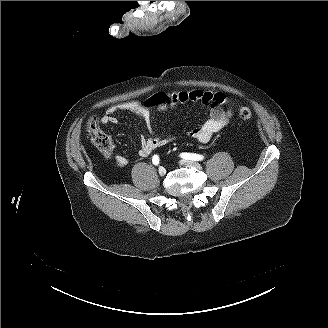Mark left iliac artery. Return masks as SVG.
<instances>
[{
  "label": "left iliac artery",
  "instance_id": "1",
  "mask_svg": "<svg viewBox=\"0 0 328 328\" xmlns=\"http://www.w3.org/2000/svg\"><path fill=\"white\" fill-rule=\"evenodd\" d=\"M181 157L184 159L193 160V161L203 160V158H204L202 155L193 154V153H182Z\"/></svg>",
  "mask_w": 328,
  "mask_h": 328
}]
</instances>
